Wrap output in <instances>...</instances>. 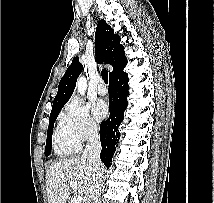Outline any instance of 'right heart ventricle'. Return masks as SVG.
<instances>
[{"label": "right heart ventricle", "instance_id": "right-heart-ventricle-1", "mask_svg": "<svg viewBox=\"0 0 214 203\" xmlns=\"http://www.w3.org/2000/svg\"><path fill=\"white\" fill-rule=\"evenodd\" d=\"M53 145L56 154L59 156L74 154L80 148L61 126H59L54 133Z\"/></svg>", "mask_w": 214, "mask_h": 203}]
</instances>
